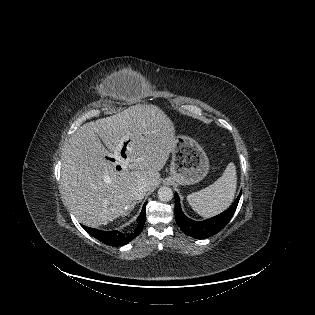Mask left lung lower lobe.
<instances>
[{
  "mask_svg": "<svg viewBox=\"0 0 315 315\" xmlns=\"http://www.w3.org/2000/svg\"><path fill=\"white\" fill-rule=\"evenodd\" d=\"M241 193L238 195L237 199L234 201V203L223 213L212 217L210 219L204 220V221H194L190 218L186 217L184 213L182 212L181 206H180V199L178 195L175 193V218L178 226L180 229L187 235L196 238V239H204L207 237H210L216 233H218L220 230H222L227 223L232 218L239 199L241 197Z\"/></svg>",
  "mask_w": 315,
  "mask_h": 315,
  "instance_id": "0a47b994",
  "label": "left lung lower lobe"
}]
</instances>
